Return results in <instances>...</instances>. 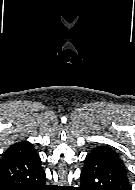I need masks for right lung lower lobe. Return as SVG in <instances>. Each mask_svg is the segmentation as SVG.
Returning <instances> with one entry per match:
<instances>
[{
	"mask_svg": "<svg viewBox=\"0 0 135 190\" xmlns=\"http://www.w3.org/2000/svg\"><path fill=\"white\" fill-rule=\"evenodd\" d=\"M37 154L0 161V190H50Z\"/></svg>",
	"mask_w": 135,
	"mask_h": 190,
	"instance_id": "right-lung-lower-lobe-1",
	"label": "right lung lower lobe"
}]
</instances>
